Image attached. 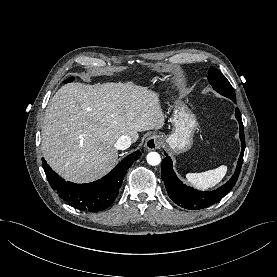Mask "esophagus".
<instances>
[{
	"label": "esophagus",
	"instance_id": "obj_1",
	"mask_svg": "<svg viewBox=\"0 0 277 277\" xmlns=\"http://www.w3.org/2000/svg\"><path fill=\"white\" fill-rule=\"evenodd\" d=\"M161 144V138L157 135H152L150 137H148V139L145 142L144 147L147 150H155L157 148H159Z\"/></svg>",
	"mask_w": 277,
	"mask_h": 277
}]
</instances>
